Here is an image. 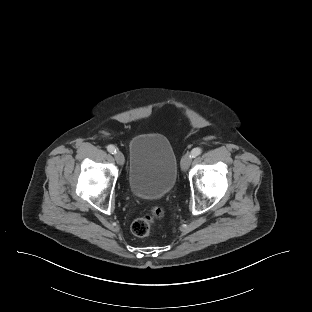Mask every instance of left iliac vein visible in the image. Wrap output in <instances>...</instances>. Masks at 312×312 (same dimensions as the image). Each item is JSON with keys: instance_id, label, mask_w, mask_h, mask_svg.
<instances>
[{"instance_id": "4c4485c4", "label": "left iliac vein", "mask_w": 312, "mask_h": 312, "mask_svg": "<svg viewBox=\"0 0 312 312\" xmlns=\"http://www.w3.org/2000/svg\"><path fill=\"white\" fill-rule=\"evenodd\" d=\"M191 161V155L189 153L185 154L181 159V169L186 171L189 168Z\"/></svg>"}]
</instances>
